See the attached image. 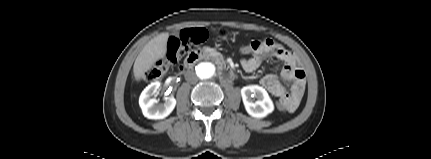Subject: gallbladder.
Wrapping results in <instances>:
<instances>
[{
  "label": "gallbladder",
  "mask_w": 431,
  "mask_h": 159,
  "mask_svg": "<svg viewBox=\"0 0 431 159\" xmlns=\"http://www.w3.org/2000/svg\"><path fill=\"white\" fill-rule=\"evenodd\" d=\"M173 35H174L175 37H178V36H179V33H178V32H174V33H173Z\"/></svg>",
  "instance_id": "1"
}]
</instances>
